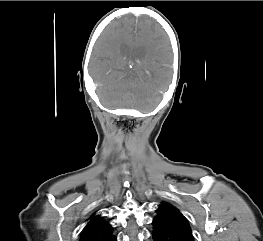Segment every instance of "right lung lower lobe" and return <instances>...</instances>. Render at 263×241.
I'll list each match as a JSON object with an SVG mask.
<instances>
[{
    "mask_svg": "<svg viewBox=\"0 0 263 241\" xmlns=\"http://www.w3.org/2000/svg\"><path fill=\"white\" fill-rule=\"evenodd\" d=\"M112 240H113V241H116V237H114Z\"/></svg>",
    "mask_w": 263,
    "mask_h": 241,
    "instance_id": "obj_1",
    "label": "right lung lower lobe"
}]
</instances>
